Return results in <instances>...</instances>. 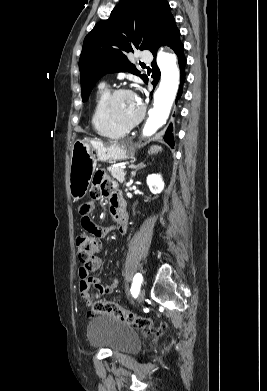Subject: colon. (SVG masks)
Wrapping results in <instances>:
<instances>
[{
	"mask_svg": "<svg viewBox=\"0 0 267 391\" xmlns=\"http://www.w3.org/2000/svg\"><path fill=\"white\" fill-rule=\"evenodd\" d=\"M75 246L79 261L83 265H88L99 252L101 242L98 237L80 234L75 240ZM91 313L94 315L102 313L108 314L121 322L136 326L144 332L159 334L162 331V327L155 326L151 318L139 316L114 302L103 300L95 301L91 305Z\"/></svg>",
	"mask_w": 267,
	"mask_h": 391,
	"instance_id": "5ec220e1",
	"label": "colon"
}]
</instances>
